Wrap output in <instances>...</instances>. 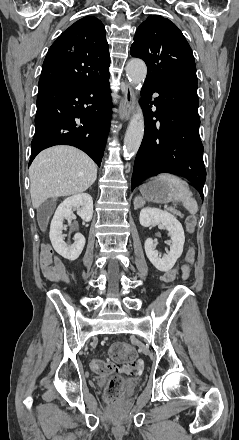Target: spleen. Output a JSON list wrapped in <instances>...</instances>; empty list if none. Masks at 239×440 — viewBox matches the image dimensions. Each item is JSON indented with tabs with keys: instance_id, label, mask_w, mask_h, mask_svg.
<instances>
[{
	"instance_id": "obj_1",
	"label": "spleen",
	"mask_w": 239,
	"mask_h": 440,
	"mask_svg": "<svg viewBox=\"0 0 239 440\" xmlns=\"http://www.w3.org/2000/svg\"><path fill=\"white\" fill-rule=\"evenodd\" d=\"M158 180L161 182H166L171 188H175L173 194L174 200L182 202L184 208L190 212V214H196L198 212V206L196 200L192 198V192L184 180H180L177 176H171V174H160L157 176Z\"/></svg>"
}]
</instances>
